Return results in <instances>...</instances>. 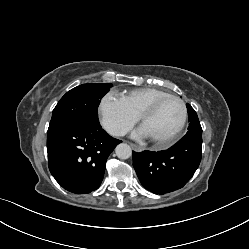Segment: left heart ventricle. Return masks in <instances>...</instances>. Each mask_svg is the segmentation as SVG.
Masks as SVG:
<instances>
[{"label":"left heart ventricle","mask_w":249,"mask_h":249,"mask_svg":"<svg viewBox=\"0 0 249 249\" xmlns=\"http://www.w3.org/2000/svg\"><path fill=\"white\" fill-rule=\"evenodd\" d=\"M183 116L179 101L170 99L163 102L158 109L142 123V129L150 139H164L178 128Z\"/></svg>","instance_id":"1"}]
</instances>
